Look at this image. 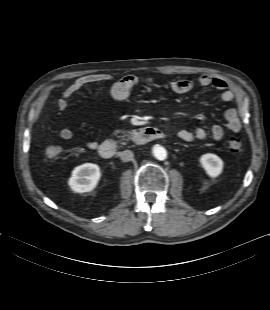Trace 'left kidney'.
Instances as JSON below:
<instances>
[{"label":"left kidney","instance_id":"5707ae66","mask_svg":"<svg viewBox=\"0 0 270 310\" xmlns=\"http://www.w3.org/2000/svg\"><path fill=\"white\" fill-rule=\"evenodd\" d=\"M200 163L211 178L218 177L222 173L224 166L221 158L212 153L202 155L200 157Z\"/></svg>","mask_w":270,"mask_h":310}]
</instances>
